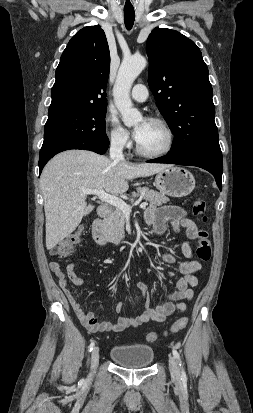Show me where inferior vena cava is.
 <instances>
[{"label": "inferior vena cava", "instance_id": "1", "mask_svg": "<svg viewBox=\"0 0 253 413\" xmlns=\"http://www.w3.org/2000/svg\"><path fill=\"white\" fill-rule=\"evenodd\" d=\"M123 141L122 139H112L111 146H110V158L114 161V163L124 161L123 155Z\"/></svg>", "mask_w": 253, "mask_h": 413}]
</instances>
